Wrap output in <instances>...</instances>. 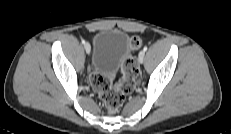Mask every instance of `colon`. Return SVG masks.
<instances>
[{"mask_svg":"<svg viewBox=\"0 0 231 134\" xmlns=\"http://www.w3.org/2000/svg\"><path fill=\"white\" fill-rule=\"evenodd\" d=\"M141 45L142 41L139 37L133 36L130 38V46L133 51L140 48ZM122 72L123 78L117 83H113L96 72H91L89 76L92 88L98 93L105 107L111 113L119 110L126 96L130 94L135 87L139 68L136 59L131 54L124 58Z\"/></svg>","mask_w":231,"mask_h":134,"instance_id":"colon-1","label":"colon"}]
</instances>
